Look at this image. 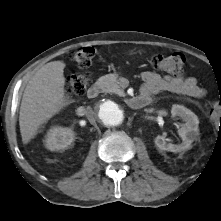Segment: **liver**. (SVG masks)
<instances>
[{
	"mask_svg": "<svg viewBox=\"0 0 221 221\" xmlns=\"http://www.w3.org/2000/svg\"><path fill=\"white\" fill-rule=\"evenodd\" d=\"M63 61L42 66L28 82L21 101L19 126L22 142L27 144L37 134L40 125L69 105L65 94Z\"/></svg>",
	"mask_w": 221,
	"mask_h": 221,
	"instance_id": "6515ba94",
	"label": "liver"
}]
</instances>
